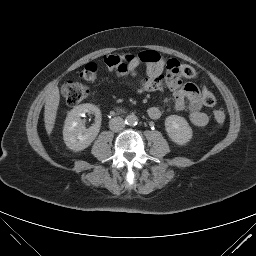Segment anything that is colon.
Listing matches in <instances>:
<instances>
[{
	"label": "colon",
	"mask_w": 256,
	"mask_h": 256,
	"mask_svg": "<svg viewBox=\"0 0 256 256\" xmlns=\"http://www.w3.org/2000/svg\"><path fill=\"white\" fill-rule=\"evenodd\" d=\"M135 58H138L141 62L147 63L158 62L161 59V56L158 52L152 50L143 51L139 54H110L104 57V64L108 69L114 71ZM178 68L180 74L185 78L193 79L196 77V71L190 65L180 64ZM96 75L97 65L95 63L86 64L81 72V78L86 81H93L96 78ZM60 92L69 105H76L82 102L89 94V90L84 84L73 81L64 82L60 87ZM202 102L207 107H214L217 100L211 91L203 88ZM213 117L219 126H222L226 119L224 112L220 109L213 111Z\"/></svg>",
	"instance_id": "1"
}]
</instances>
